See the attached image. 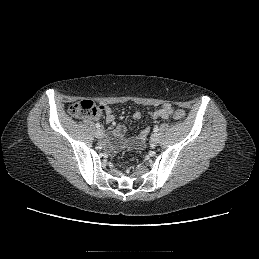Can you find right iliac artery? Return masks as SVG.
Instances as JSON below:
<instances>
[{"label": "right iliac artery", "mask_w": 259, "mask_h": 259, "mask_svg": "<svg viewBox=\"0 0 259 259\" xmlns=\"http://www.w3.org/2000/svg\"><path fill=\"white\" fill-rule=\"evenodd\" d=\"M95 126H96V128H100V124L99 123H96Z\"/></svg>", "instance_id": "right-iliac-artery-1"}]
</instances>
